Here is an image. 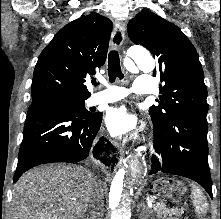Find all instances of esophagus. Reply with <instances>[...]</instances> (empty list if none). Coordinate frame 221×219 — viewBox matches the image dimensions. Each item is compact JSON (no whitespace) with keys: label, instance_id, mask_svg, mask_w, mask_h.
Returning a JSON list of instances; mask_svg holds the SVG:
<instances>
[{"label":"esophagus","instance_id":"1","mask_svg":"<svg viewBox=\"0 0 221 219\" xmlns=\"http://www.w3.org/2000/svg\"><path fill=\"white\" fill-rule=\"evenodd\" d=\"M125 40V27L122 22H116L111 36L110 46L113 49H120Z\"/></svg>","mask_w":221,"mask_h":219}]
</instances>
